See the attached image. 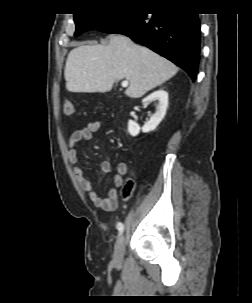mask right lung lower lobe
Returning a JSON list of instances; mask_svg holds the SVG:
<instances>
[{
    "label": "right lung lower lobe",
    "mask_w": 252,
    "mask_h": 303,
    "mask_svg": "<svg viewBox=\"0 0 252 303\" xmlns=\"http://www.w3.org/2000/svg\"><path fill=\"white\" fill-rule=\"evenodd\" d=\"M98 31L127 35L184 69L193 81L197 77L201 43L197 14L172 8L153 14L136 10Z\"/></svg>",
    "instance_id": "98d812e1"
}]
</instances>
